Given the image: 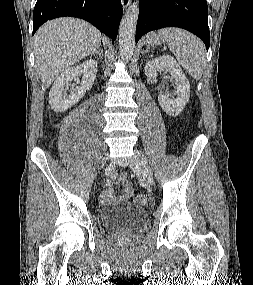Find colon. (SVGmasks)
Here are the masks:
<instances>
[{
	"mask_svg": "<svg viewBox=\"0 0 253 285\" xmlns=\"http://www.w3.org/2000/svg\"><path fill=\"white\" fill-rule=\"evenodd\" d=\"M147 202V197L144 194H138L134 197V203L137 205H145Z\"/></svg>",
	"mask_w": 253,
	"mask_h": 285,
	"instance_id": "colon-1",
	"label": "colon"
}]
</instances>
